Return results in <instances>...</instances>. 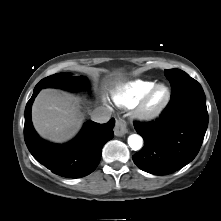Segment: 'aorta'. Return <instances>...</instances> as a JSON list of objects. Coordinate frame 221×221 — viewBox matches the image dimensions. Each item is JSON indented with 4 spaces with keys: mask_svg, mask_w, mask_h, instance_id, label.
I'll list each match as a JSON object with an SVG mask.
<instances>
[{
    "mask_svg": "<svg viewBox=\"0 0 221 221\" xmlns=\"http://www.w3.org/2000/svg\"><path fill=\"white\" fill-rule=\"evenodd\" d=\"M128 144L132 150H139L142 148L143 139L137 134H132L128 137Z\"/></svg>",
    "mask_w": 221,
    "mask_h": 221,
    "instance_id": "aorta-1",
    "label": "aorta"
}]
</instances>
